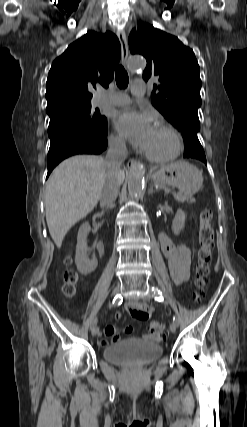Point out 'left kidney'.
I'll list each match as a JSON object with an SVG mask.
<instances>
[{
    "mask_svg": "<svg viewBox=\"0 0 247 427\" xmlns=\"http://www.w3.org/2000/svg\"><path fill=\"white\" fill-rule=\"evenodd\" d=\"M186 214L182 209H178L175 218L172 222V231L174 234H179L185 226Z\"/></svg>",
    "mask_w": 247,
    "mask_h": 427,
    "instance_id": "left-kidney-1",
    "label": "left kidney"
}]
</instances>
